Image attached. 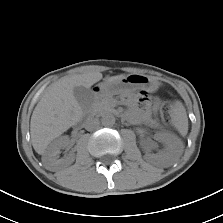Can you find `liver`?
<instances>
[{"mask_svg": "<svg viewBox=\"0 0 223 223\" xmlns=\"http://www.w3.org/2000/svg\"><path fill=\"white\" fill-rule=\"evenodd\" d=\"M123 77V74L107 77L106 81ZM101 79L100 72L65 76L48 88L36 105L30 122L31 141L38 154L43 155L51 141L81 120L82 108L73 89L77 86L90 88Z\"/></svg>", "mask_w": 223, "mask_h": 223, "instance_id": "1", "label": "liver"}]
</instances>
